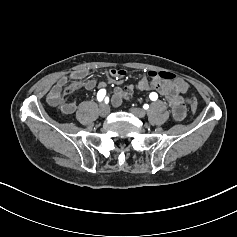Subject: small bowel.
I'll return each mask as SVG.
<instances>
[{
    "label": "small bowel",
    "mask_w": 237,
    "mask_h": 237,
    "mask_svg": "<svg viewBox=\"0 0 237 237\" xmlns=\"http://www.w3.org/2000/svg\"><path fill=\"white\" fill-rule=\"evenodd\" d=\"M157 71L150 70L142 77L138 82L137 88L147 91H156L160 93L166 99L172 115L175 120L181 121L186 115V105L189 102L184 94L188 90V83L182 79L177 80H164L157 76ZM89 70L86 68H80L72 71L71 73L60 77L49 89L46 100L49 105L58 107L63 114H73L77 109L76 101H65L61 97L62 88L73 80L84 81V87L87 90H93L96 87L105 88L106 83L99 81L95 78H87ZM126 71L123 69H111L109 76L113 79H120L125 77ZM130 94V90H123L119 87L115 88L112 94V103L118 106L122 103L123 98Z\"/></svg>",
    "instance_id": "obj_1"
}]
</instances>
